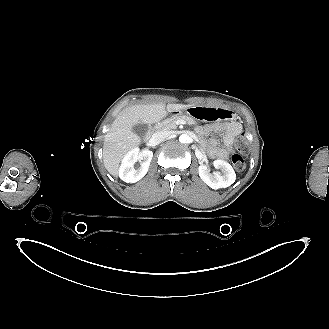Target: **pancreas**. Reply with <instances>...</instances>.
I'll return each mask as SVG.
<instances>
[{"instance_id":"pancreas-1","label":"pancreas","mask_w":329,"mask_h":329,"mask_svg":"<svg viewBox=\"0 0 329 329\" xmlns=\"http://www.w3.org/2000/svg\"><path fill=\"white\" fill-rule=\"evenodd\" d=\"M178 121H183L188 124H192L194 122L192 118L185 116V115L172 116V117L162 121L159 124V127L162 129H165V130L176 129Z\"/></svg>"}]
</instances>
